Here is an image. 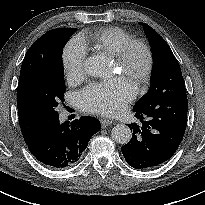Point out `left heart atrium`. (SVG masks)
Segmentation results:
<instances>
[{"mask_svg": "<svg viewBox=\"0 0 205 205\" xmlns=\"http://www.w3.org/2000/svg\"><path fill=\"white\" fill-rule=\"evenodd\" d=\"M137 94L135 84L126 77L93 82L78 94L79 108L88 113L118 115Z\"/></svg>", "mask_w": 205, "mask_h": 205, "instance_id": "left-heart-atrium-1", "label": "left heart atrium"}]
</instances>
